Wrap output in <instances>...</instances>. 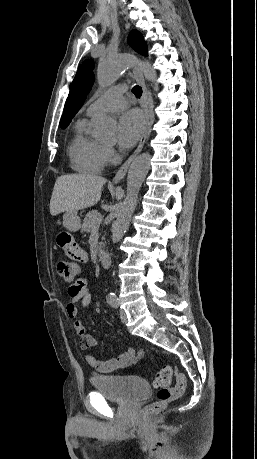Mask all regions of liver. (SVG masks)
I'll use <instances>...</instances> for the list:
<instances>
[{
    "mask_svg": "<svg viewBox=\"0 0 257 459\" xmlns=\"http://www.w3.org/2000/svg\"><path fill=\"white\" fill-rule=\"evenodd\" d=\"M106 179L95 174H69L57 178L50 200V213L78 211L94 206Z\"/></svg>",
    "mask_w": 257,
    "mask_h": 459,
    "instance_id": "1",
    "label": "liver"
}]
</instances>
